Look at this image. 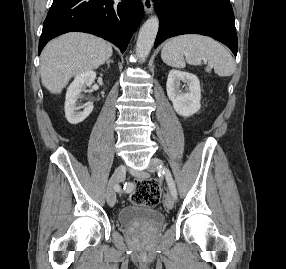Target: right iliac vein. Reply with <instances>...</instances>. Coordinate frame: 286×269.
I'll return each mask as SVG.
<instances>
[{
    "mask_svg": "<svg viewBox=\"0 0 286 269\" xmlns=\"http://www.w3.org/2000/svg\"><path fill=\"white\" fill-rule=\"evenodd\" d=\"M126 167L124 165L118 166L112 174L107 187V202L110 206H114L116 202V193L114 187L122 182L125 178Z\"/></svg>",
    "mask_w": 286,
    "mask_h": 269,
    "instance_id": "1",
    "label": "right iliac vein"
}]
</instances>
